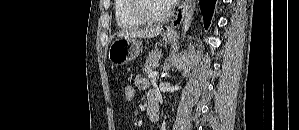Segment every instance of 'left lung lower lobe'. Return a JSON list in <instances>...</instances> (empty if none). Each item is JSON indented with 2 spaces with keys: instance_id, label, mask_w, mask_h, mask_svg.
Returning a JSON list of instances; mask_svg holds the SVG:
<instances>
[{
  "instance_id": "1",
  "label": "left lung lower lobe",
  "mask_w": 299,
  "mask_h": 130,
  "mask_svg": "<svg viewBox=\"0 0 299 130\" xmlns=\"http://www.w3.org/2000/svg\"><path fill=\"white\" fill-rule=\"evenodd\" d=\"M215 2L216 0H200L201 9L204 17V26L206 29L208 28L210 20L212 18Z\"/></svg>"
}]
</instances>
